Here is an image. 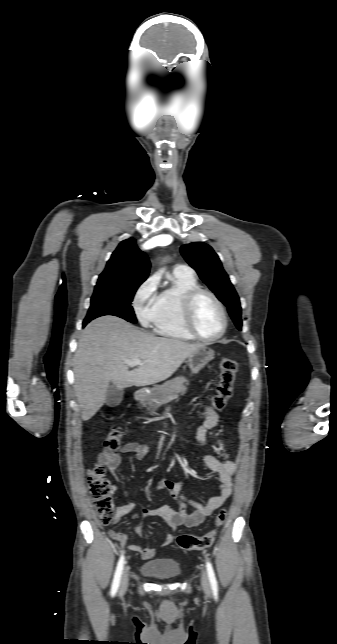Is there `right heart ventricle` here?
<instances>
[{
    "label": "right heart ventricle",
    "instance_id": "right-heart-ventricle-1",
    "mask_svg": "<svg viewBox=\"0 0 337 644\" xmlns=\"http://www.w3.org/2000/svg\"><path fill=\"white\" fill-rule=\"evenodd\" d=\"M172 285L158 295L157 313L153 321L158 335L181 341L193 340L182 322V301L185 294L199 287L194 273L177 271L172 274Z\"/></svg>",
    "mask_w": 337,
    "mask_h": 644
}]
</instances>
